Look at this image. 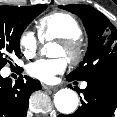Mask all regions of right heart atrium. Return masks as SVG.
<instances>
[{
    "mask_svg": "<svg viewBox=\"0 0 117 117\" xmlns=\"http://www.w3.org/2000/svg\"><path fill=\"white\" fill-rule=\"evenodd\" d=\"M19 47L23 54L27 57L33 56L40 46V39L30 30H25L21 33Z\"/></svg>",
    "mask_w": 117,
    "mask_h": 117,
    "instance_id": "obj_1",
    "label": "right heart atrium"
}]
</instances>
